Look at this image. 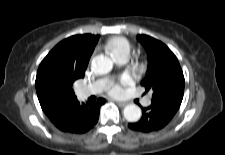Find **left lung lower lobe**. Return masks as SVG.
<instances>
[{
  "label": "left lung lower lobe",
  "instance_id": "obj_1",
  "mask_svg": "<svg viewBox=\"0 0 225 155\" xmlns=\"http://www.w3.org/2000/svg\"><path fill=\"white\" fill-rule=\"evenodd\" d=\"M179 107L163 102H151V105L142 108V118L128 127L139 132H153L164 128L174 117Z\"/></svg>",
  "mask_w": 225,
  "mask_h": 155
}]
</instances>
